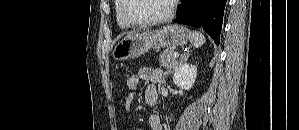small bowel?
<instances>
[{"instance_id": "obj_1", "label": "small bowel", "mask_w": 299, "mask_h": 130, "mask_svg": "<svg viewBox=\"0 0 299 130\" xmlns=\"http://www.w3.org/2000/svg\"><path fill=\"white\" fill-rule=\"evenodd\" d=\"M138 74L140 80H144L147 82V86L145 89L146 100L149 95L157 94L156 84L162 76L161 71L152 67H143L138 71ZM134 95L135 92L128 94V97L125 102V107L127 110L130 109V106L134 99ZM149 125L151 130H162V122L158 115L153 114L149 117Z\"/></svg>"}]
</instances>
